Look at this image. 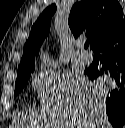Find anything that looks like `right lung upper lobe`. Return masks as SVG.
Masks as SVG:
<instances>
[{
    "label": "right lung upper lobe",
    "mask_w": 125,
    "mask_h": 128,
    "mask_svg": "<svg viewBox=\"0 0 125 128\" xmlns=\"http://www.w3.org/2000/svg\"><path fill=\"white\" fill-rule=\"evenodd\" d=\"M56 11V5L48 6L36 20L25 43L23 56L18 71L34 64V54L50 31L51 17ZM125 23L123 10L117 0H84L74 4L70 11L68 24L77 38L86 32L91 49L107 35Z\"/></svg>",
    "instance_id": "right-lung-upper-lobe-1"
}]
</instances>
